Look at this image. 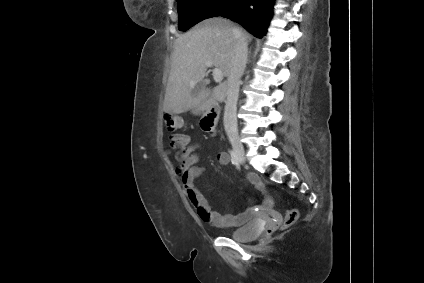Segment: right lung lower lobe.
I'll return each mask as SVG.
<instances>
[{
    "label": "right lung lower lobe",
    "mask_w": 424,
    "mask_h": 283,
    "mask_svg": "<svg viewBox=\"0 0 424 283\" xmlns=\"http://www.w3.org/2000/svg\"><path fill=\"white\" fill-rule=\"evenodd\" d=\"M273 0H235L220 16L241 24L251 34L261 38L272 16Z\"/></svg>",
    "instance_id": "1"
}]
</instances>
